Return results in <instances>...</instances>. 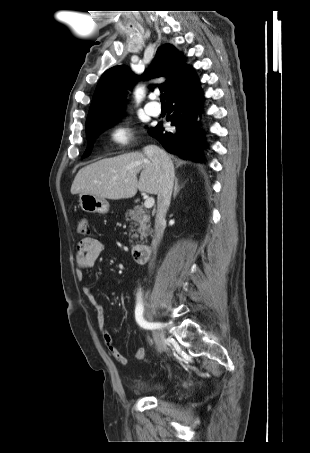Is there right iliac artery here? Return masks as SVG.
Returning a JSON list of instances; mask_svg holds the SVG:
<instances>
[{
    "label": "right iliac artery",
    "instance_id": "1",
    "mask_svg": "<svg viewBox=\"0 0 310 453\" xmlns=\"http://www.w3.org/2000/svg\"><path fill=\"white\" fill-rule=\"evenodd\" d=\"M143 310H144V307H143V304H142L141 293H138L137 304H136V308H135V319H136L137 323L144 329H151L152 330V329H156V328L162 327V325L160 323L147 322L143 318Z\"/></svg>",
    "mask_w": 310,
    "mask_h": 453
}]
</instances>
